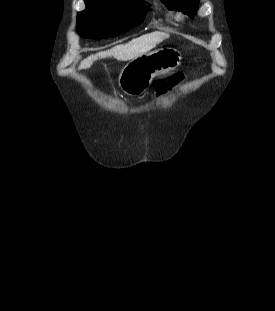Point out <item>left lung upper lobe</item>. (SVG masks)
<instances>
[{
	"instance_id": "obj_1",
	"label": "left lung upper lobe",
	"mask_w": 275,
	"mask_h": 311,
	"mask_svg": "<svg viewBox=\"0 0 275 311\" xmlns=\"http://www.w3.org/2000/svg\"><path fill=\"white\" fill-rule=\"evenodd\" d=\"M169 9L182 11L193 17L198 7L199 0H161Z\"/></svg>"
}]
</instances>
